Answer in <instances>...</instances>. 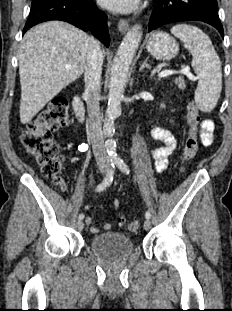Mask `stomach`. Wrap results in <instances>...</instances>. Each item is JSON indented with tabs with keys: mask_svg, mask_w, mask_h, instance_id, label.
Here are the masks:
<instances>
[{
	"mask_svg": "<svg viewBox=\"0 0 232 311\" xmlns=\"http://www.w3.org/2000/svg\"><path fill=\"white\" fill-rule=\"evenodd\" d=\"M146 49L148 53L158 60H171L178 54L177 41L163 31H154L148 39Z\"/></svg>",
	"mask_w": 232,
	"mask_h": 311,
	"instance_id": "1",
	"label": "stomach"
}]
</instances>
